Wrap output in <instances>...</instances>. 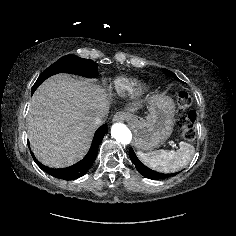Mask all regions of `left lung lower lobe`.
<instances>
[{
	"label": "left lung lower lobe",
	"instance_id": "obj_1",
	"mask_svg": "<svg viewBox=\"0 0 236 236\" xmlns=\"http://www.w3.org/2000/svg\"><path fill=\"white\" fill-rule=\"evenodd\" d=\"M129 156L132 162L134 163V165L136 166L137 170L140 172V174H142L143 176L149 179H154V180L163 179L170 176H175L179 173L177 172V173H172V174H163V173H158L149 169L148 167H146L144 164L140 162V160L137 158L132 148H130L129 150ZM151 172H153V174Z\"/></svg>",
	"mask_w": 236,
	"mask_h": 236
}]
</instances>
